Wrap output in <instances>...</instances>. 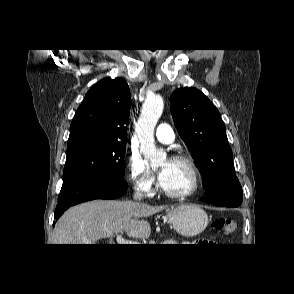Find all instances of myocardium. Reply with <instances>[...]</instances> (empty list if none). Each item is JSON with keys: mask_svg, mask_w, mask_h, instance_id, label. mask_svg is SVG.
Wrapping results in <instances>:
<instances>
[{"mask_svg": "<svg viewBox=\"0 0 294 294\" xmlns=\"http://www.w3.org/2000/svg\"><path fill=\"white\" fill-rule=\"evenodd\" d=\"M171 161H176V162H181L183 164H185L191 174H192V185L190 187L189 190H187L186 192H182V193H172L167 191L166 189L163 188L161 182L158 185L159 188V192L171 199H186L191 197L199 188L200 183H201V177H200V173L198 170V167L196 165V163L194 162V160L186 155L183 154H179V155H175L171 158Z\"/></svg>", "mask_w": 294, "mask_h": 294, "instance_id": "obj_1", "label": "myocardium"}]
</instances>
